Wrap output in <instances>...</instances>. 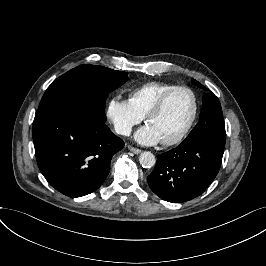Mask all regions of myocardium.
<instances>
[{
	"label": "myocardium",
	"mask_w": 266,
	"mask_h": 266,
	"mask_svg": "<svg viewBox=\"0 0 266 266\" xmlns=\"http://www.w3.org/2000/svg\"><path fill=\"white\" fill-rule=\"evenodd\" d=\"M177 90H186L191 94L193 98V102H194V111H193L190 121L176 138L171 139V140H162V143L167 146H173V145L180 144L187 137V135L190 133L193 126L195 125L196 120L198 118V114H199V99H198V96L195 90L191 88L190 86L184 85V84H178V85L171 87L170 89L166 90L160 95L158 100L149 108L145 116L146 120L149 121V119L153 115L161 112L167 100L169 99V97Z\"/></svg>",
	"instance_id": "myocardium-1"
}]
</instances>
